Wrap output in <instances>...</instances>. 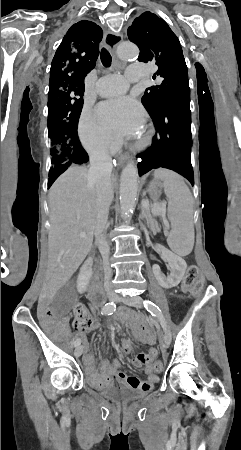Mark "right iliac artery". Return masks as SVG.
I'll list each match as a JSON object with an SVG mask.
<instances>
[{
    "mask_svg": "<svg viewBox=\"0 0 241 450\" xmlns=\"http://www.w3.org/2000/svg\"><path fill=\"white\" fill-rule=\"evenodd\" d=\"M116 309V305L114 302H109L107 304H105V306H103L102 310H101V314L102 315H111L113 314V312ZM81 344V340L79 338H77L74 342V346L77 347Z\"/></svg>",
    "mask_w": 241,
    "mask_h": 450,
    "instance_id": "1",
    "label": "right iliac artery"
}]
</instances>
